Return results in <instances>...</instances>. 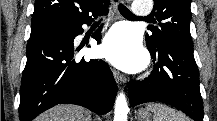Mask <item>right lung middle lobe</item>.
<instances>
[{
	"instance_id": "right-lung-middle-lobe-1",
	"label": "right lung middle lobe",
	"mask_w": 217,
	"mask_h": 121,
	"mask_svg": "<svg viewBox=\"0 0 217 121\" xmlns=\"http://www.w3.org/2000/svg\"><path fill=\"white\" fill-rule=\"evenodd\" d=\"M72 24L56 21V20H45L32 23L30 37L43 34L50 31L60 30L71 27Z\"/></svg>"
}]
</instances>
